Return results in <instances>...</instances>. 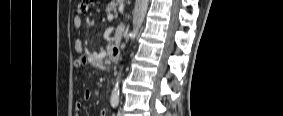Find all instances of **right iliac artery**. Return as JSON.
I'll list each match as a JSON object with an SVG mask.
<instances>
[{
  "label": "right iliac artery",
  "mask_w": 283,
  "mask_h": 116,
  "mask_svg": "<svg viewBox=\"0 0 283 116\" xmlns=\"http://www.w3.org/2000/svg\"><path fill=\"white\" fill-rule=\"evenodd\" d=\"M112 106H113V107L117 106V103H112Z\"/></svg>",
  "instance_id": "82829eb1"
}]
</instances>
